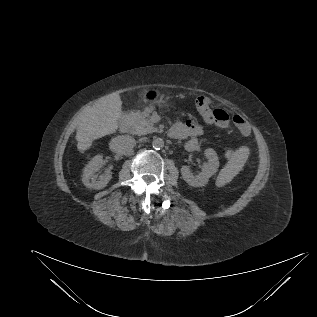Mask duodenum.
<instances>
[{
  "mask_svg": "<svg viewBox=\"0 0 317 317\" xmlns=\"http://www.w3.org/2000/svg\"><path fill=\"white\" fill-rule=\"evenodd\" d=\"M130 125V118L128 114L123 115L119 122V129L121 132H126Z\"/></svg>",
  "mask_w": 317,
  "mask_h": 317,
  "instance_id": "duodenum-1",
  "label": "duodenum"
}]
</instances>
